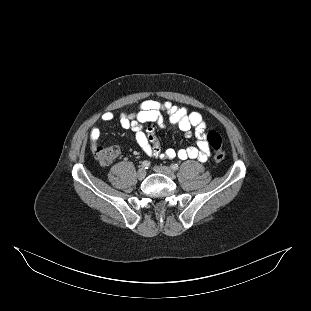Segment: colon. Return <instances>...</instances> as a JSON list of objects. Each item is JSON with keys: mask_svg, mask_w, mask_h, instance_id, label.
<instances>
[{"mask_svg": "<svg viewBox=\"0 0 311 311\" xmlns=\"http://www.w3.org/2000/svg\"><path fill=\"white\" fill-rule=\"evenodd\" d=\"M207 142L214 152V159L222 161L225 152L222 150V137L219 132L211 130L207 134ZM119 155V148L116 146H101L94 149L95 159L99 164L106 166L112 163Z\"/></svg>", "mask_w": 311, "mask_h": 311, "instance_id": "1", "label": "colon"}]
</instances>
